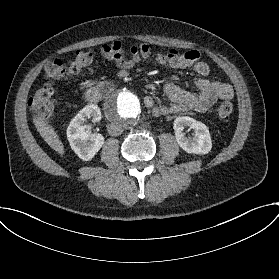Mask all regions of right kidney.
Returning <instances> with one entry per match:
<instances>
[{"instance_id": "1", "label": "right kidney", "mask_w": 279, "mask_h": 279, "mask_svg": "<svg viewBox=\"0 0 279 279\" xmlns=\"http://www.w3.org/2000/svg\"><path fill=\"white\" fill-rule=\"evenodd\" d=\"M92 122L101 120V111L96 105L83 108L67 127V138L73 151L84 161H91L105 143L101 134H93L85 121ZM90 138V142L87 140Z\"/></svg>"}]
</instances>
